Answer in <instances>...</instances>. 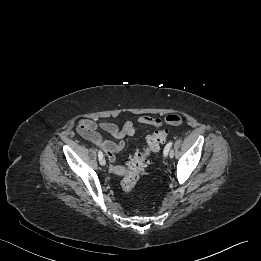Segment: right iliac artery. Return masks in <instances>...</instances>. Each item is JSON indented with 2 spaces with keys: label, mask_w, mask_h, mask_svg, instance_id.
<instances>
[{
  "label": "right iliac artery",
  "mask_w": 261,
  "mask_h": 261,
  "mask_svg": "<svg viewBox=\"0 0 261 261\" xmlns=\"http://www.w3.org/2000/svg\"><path fill=\"white\" fill-rule=\"evenodd\" d=\"M98 157H99V158H103V153H102L101 150L98 151Z\"/></svg>",
  "instance_id": "1"
}]
</instances>
